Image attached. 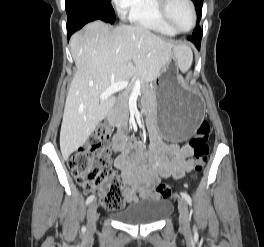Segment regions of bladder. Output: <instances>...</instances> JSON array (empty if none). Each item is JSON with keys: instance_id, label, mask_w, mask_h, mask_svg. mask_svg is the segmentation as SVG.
Masks as SVG:
<instances>
[{"instance_id": "bladder-1", "label": "bladder", "mask_w": 264, "mask_h": 247, "mask_svg": "<svg viewBox=\"0 0 264 247\" xmlns=\"http://www.w3.org/2000/svg\"><path fill=\"white\" fill-rule=\"evenodd\" d=\"M172 210V203L166 198L144 199L130 204L118 212L115 218L126 224H152L166 218Z\"/></svg>"}]
</instances>
